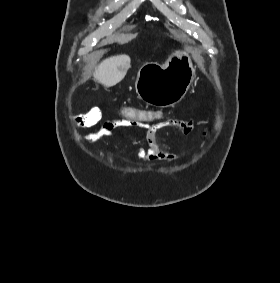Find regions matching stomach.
Wrapping results in <instances>:
<instances>
[{"label":"stomach","instance_id":"stomach-1","mask_svg":"<svg viewBox=\"0 0 280 283\" xmlns=\"http://www.w3.org/2000/svg\"><path fill=\"white\" fill-rule=\"evenodd\" d=\"M194 78V67L186 48L174 50L165 64H144L138 71L135 89L147 104L170 107L187 93Z\"/></svg>","mask_w":280,"mask_h":283}]
</instances>
